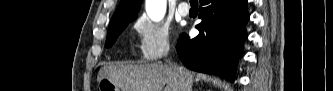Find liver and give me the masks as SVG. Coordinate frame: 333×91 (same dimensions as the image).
Masks as SVG:
<instances>
[{
	"label": "liver",
	"instance_id": "liver-1",
	"mask_svg": "<svg viewBox=\"0 0 333 91\" xmlns=\"http://www.w3.org/2000/svg\"><path fill=\"white\" fill-rule=\"evenodd\" d=\"M185 81L192 87L195 74L179 67ZM109 79L122 91H181L180 73L172 65L162 64H110L103 66L98 73L97 81Z\"/></svg>",
	"mask_w": 333,
	"mask_h": 91
}]
</instances>
